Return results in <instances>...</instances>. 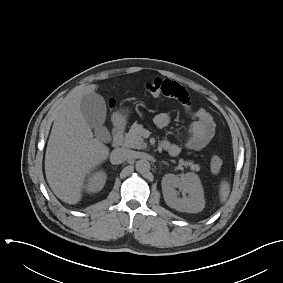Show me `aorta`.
I'll return each instance as SVG.
<instances>
[{
    "mask_svg": "<svg viewBox=\"0 0 283 283\" xmlns=\"http://www.w3.org/2000/svg\"><path fill=\"white\" fill-rule=\"evenodd\" d=\"M135 168L137 172L145 173L150 170V163L145 159H141L136 162Z\"/></svg>",
    "mask_w": 283,
    "mask_h": 283,
    "instance_id": "obj_1",
    "label": "aorta"
}]
</instances>
